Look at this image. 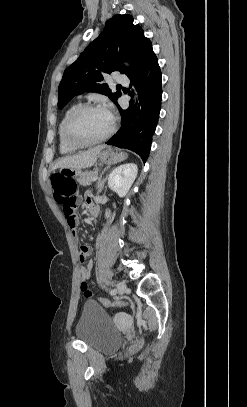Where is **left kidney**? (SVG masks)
Wrapping results in <instances>:
<instances>
[{
    "instance_id": "5707ae66",
    "label": "left kidney",
    "mask_w": 247,
    "mask_h": 407,
    "mask_svg": "<svg viewBox=\"0 0 247 407\" xmlns=\"http://www.w3.org/2000/svg\"><path fill=\"white\" fill-rule=\"evenodd\" d=\"M138 173L135 163H126L116 167L108 178V186L116 192L119 197H124L128 193Z\"/></svg>"
}]
</instances>
